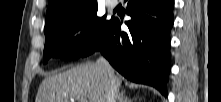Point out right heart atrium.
I'll return each instance as SVG.
<instances>
[{"instance_id":"1","label":"right heart atrium","mask_w":221,"mask_h":102,"mask_svg":"<svg viewBox=\"0 0 221 102\" xmlns=\"http://www.w3.org/2000/svg\"><path fill=\"white\" fill-rule=\"evenodd\" d=\"M89 25L83 20L76 21L70 28L69 39L74 46L82 45L88 36Z\"/></svg>"}]
</instances>
